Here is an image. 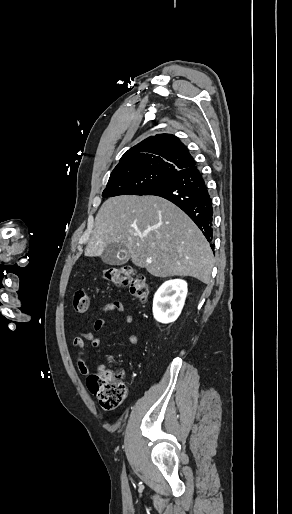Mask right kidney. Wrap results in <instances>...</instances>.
<instances>
[{
	"label": "right kidney",
	"instance_id": "right-kidney-1",
	"mask_svg": "<svg viewBox=\"0 0 292 514\" xmlns=\"http://www.w3.org/2000/svg\"><path fill=\"white\" fill-rule=\"evenodd\" d=\"M187 282L168 280L157 290L153 300V314L157 322L170 324L181 314L187 296Z\"/></svg>",
	"mask_w": 292,
	"mask_h": 514
}]
</instances>
